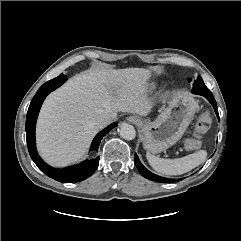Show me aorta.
<instances>
[{
	"label": "aorta",
	"instance_id": "obj_1",
	"mask_svg": "<svg viewBox=\"0 0 241 241\" xmlns=\"http://www.w3.org/2000/svg\"><path fill=\"white\" fill-rule=\"evenodd\" d=\"M118 131L120 136L126 140H133L136 136L135 128L128 123L120 124Z\"/></svg>",
	"mask_w": 241,
	"mask_h": 241
}]
</instances>
